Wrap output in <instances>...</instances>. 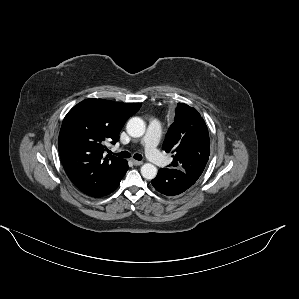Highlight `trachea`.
Listing matches in <instances>:
<instances>
[{"instance_id": "3493384b", "label": "trachea", "mask_w": 299, "mask_h": 299, "mask_svg": "<svg viewBox=\"0 0 299 299\" xmlns=\"http://www.w3.org/2000/svg\"><path fill=\"white\" fill-rule=\"evenodd\" d=\"M118 156L122 157V158H129L131 156V154L128 151H122V152L118 153ZM133 157L136 160H139V161L142 160L141 154H135Z\"/></svg>"}]
</instances>
